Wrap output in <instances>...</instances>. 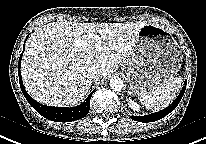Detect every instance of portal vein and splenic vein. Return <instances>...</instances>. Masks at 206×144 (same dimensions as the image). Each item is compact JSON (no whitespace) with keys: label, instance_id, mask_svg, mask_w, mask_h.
I'll return each instance as SVG.
<instances>
[{"label":"portal vein and splenic vein","instance_id":"18ae733b","mask_svg":"<svg viewBox=\"0 0 206 144\" xmlns=\"http://www.w3.org/2000/svg\"><path fill=\"white\" fill-rule=\"evenodd\" d=\"M95 40H97V43L95 44V50L97 52H101L102 51V43L100 41L101 37L99 35H95L94 36Z\"/></svg>","mask_w":206,"mask_h":144}]
</instances>
